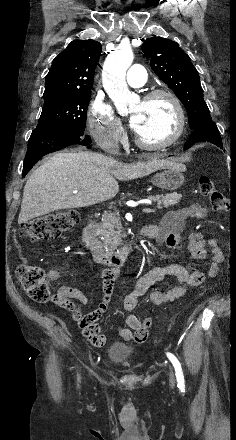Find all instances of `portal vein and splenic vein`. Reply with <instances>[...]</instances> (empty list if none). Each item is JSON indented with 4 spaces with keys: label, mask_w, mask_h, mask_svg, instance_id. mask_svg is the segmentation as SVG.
Masks as SVG:
<instances>
[{
    "label": "portal vein and splenic vein",
    "mask_w": 236,
    "mask_h": 440,
    "mask_svg": "<svg viewBox=\"0 0 236 440\" xmlns=\"http://www.w3.org/2000/svg\"><path fill=\"white\" fill-rule=\"evenodd\" d=\"M75 193H77V191H76ZM142 211L145 212V213H151V212H154V210L151 209V208H149V207H145V208H143Z\"/></svg>",
    "instance_id": "portal-vein-and-splenic-vein-1"
}]
</instances>
